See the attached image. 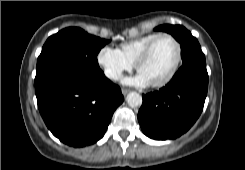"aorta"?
Segmentation results:
<instances>
[{"label": "aorta", "mask_w": 245, "mask_h": 170, "mask_svg": "<svg viewBox=\"0 0 245 170\" xmlns=\"http://www.w3.org/2000/svg\"><path fill=\"white\" fill-rule=\"evenodd\" d=\"M126 100H127L128 105L132 108L141 106L142 104V96L136 92H130L127 95Z\"/></svg>", "instance_id": "762f6f07"}]
</instances>
